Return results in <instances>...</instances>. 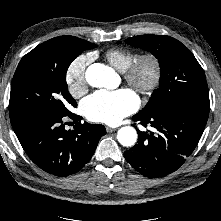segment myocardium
<instances>
[{
    "mask_svg": "<svg viewBox=\"0 0 221 221\" xmlns=\"http://www.w3.org/2000/svg\"><path fill=\"white\" fill-rule=\"evenodd\" d=\"M149 65L150 76H142L143 68ZM162 75V66L159 58L153 53L138 55L132 63L123 71L125 81L142 95H150L159 86Z\"/></svg>",
    "mask_w": 221,
    "mask_h": 221,
    "instance_id": "f54148a6",
    "label": "myocardium"
}]
</instances>
